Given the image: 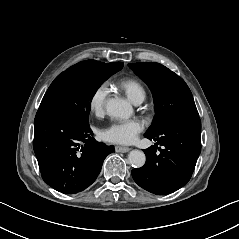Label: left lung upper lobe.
I'll use <instances>...</instances> for the list:
<instances>
[{"label": "left lung upper lobe", "mask_w": 239, "mask_h": 239, "mask_svg": "<svg viewBox=\"0 0 239 239\" xmlns=\"http://www.w3.org/2000/svg\"><path fill=\"white\" fill-rule=\"evenodd\" d=\"M129 67L151 89L155 117L146 136H157L171 121L189 115H198L192 93L177 74L159 63H130Z\"/></svg>", "instance_id": "obj_1"}]
</instances>
